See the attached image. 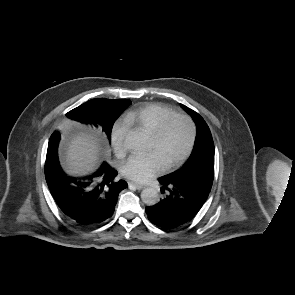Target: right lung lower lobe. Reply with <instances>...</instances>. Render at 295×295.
<instances>
[{
	"instance_id": "right-lung-lower-lobe-1",
	"label": "right lung lower lobe",
	"mask_w": 295,
	"mask_h": 295,
	"mask_svg": "<svg viewBox=\"0 0 295 295\" xmlns=\"http://www.w3.org/2000/svg\"><path fill=\"white\" fill-rule=\"evenodd\" d=\"M60 135L50 137L46 160L57 155ZM117 171L107 163L92 175L84 178L53 174L46 179L50 192L59 208L74 224L92 227L111 217L119 193L128 185L116 180Z\"/></svg>"
}]
</instances>
